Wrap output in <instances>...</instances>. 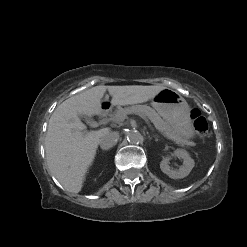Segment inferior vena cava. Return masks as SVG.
Returning a JSON list of instances; mask_svg holds the SVG:
<instances>
[{
  "instance_id": "602c4592",
  "label": "inferior vena cava",
  "mask_w": 247,
  "mask_h": 247,
  "mask_svg": "<svg viewBox=\"0 0 247 247\" xmlns=\"http://www.w3.org/2000/svg\"><path fill=\"white\" fill-rule=\"evenodd\" d=\"M119 139L118 132H105L100 138L99 144L103 150H108L116 145Z\"/></svg>"
}]
</instances>
